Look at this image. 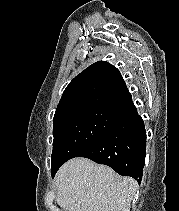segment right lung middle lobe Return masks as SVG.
<instances>
[{"mask_svg":"<svg viewBox=\"0 0 179 211\" xmlns=\"http://www.w3.org/2000/svg\"><path fill=\"white\" fill-rule=\"evenodd\" d=\"M119 116L117 111L85 110L54 120L51 170L95 144Z\"/></svg>","mask_w":179,"mask_h":211,"instance_id":"dd1d6c3e","label":"right lung middle lobe"}]
</instances>
